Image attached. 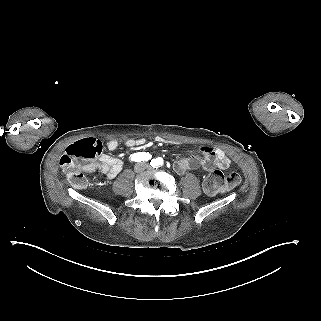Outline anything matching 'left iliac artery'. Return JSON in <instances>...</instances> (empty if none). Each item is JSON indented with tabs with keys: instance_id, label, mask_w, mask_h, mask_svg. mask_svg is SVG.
<instances>
[{
	"instance_id": "44dca946",
	"label": "left iliac artery",
	"mask_w": 321,
	"mask_h": 321,
	"mask_svg": "<svg viewBox=\"0 0 321 321\" xmlns=\"http://www.w3.org/2000/svg\"><path fill=\"white\" fill-rule=\"evenodd\" d=\"M162 164H163V159L160 157L157 159H152L150 162V165L154 168H158Z\"/></svg>"
}]
</instances>
